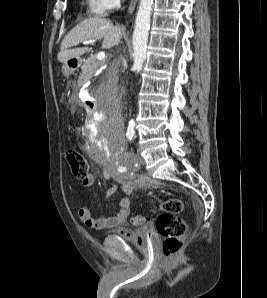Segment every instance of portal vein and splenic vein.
<instances>
[{
    "mask_svg": "<svg viewBox=\"0 0 267 298\" xmlns=\"http://www.w3.org/2000/svg\"><path fill=\"white\" fill-rule=\"evenodd\" d=\"M95 41H96L95 39L87 40V41H83V44L87 45V44L94 43ZM97 59L100 60V61L105 59V53L104 52H99L97 54Z\"/></svg>",
    "mask_w": 267,
    "mask_h": 298,
    "instance_id": "portal-vein-and-splenic-vein-1",
    "label": "portal vein and splenic vein"
}]
</instances>
